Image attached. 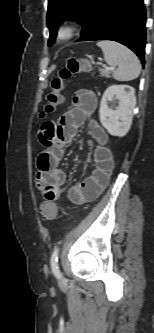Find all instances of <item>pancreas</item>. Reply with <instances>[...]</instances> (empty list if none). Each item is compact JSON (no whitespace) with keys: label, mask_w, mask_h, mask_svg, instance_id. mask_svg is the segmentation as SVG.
Segmentation results:
<instances>
[{"label":"pancreas","mask_w":154,"mask_h":333,"mask_svg":"<svg viewBox=\"0 0 154 333\" xmlns=\"http://www.w3.org/2000/svg\"><path fill=\"white\" fill-rule=\"evenodd\" d=\"M99 73L101 77H106V78L110 77V71L107 69H100Z\"/></svg>","instance_id":"pancreas-1"}]
</instances>
